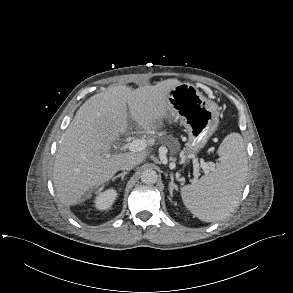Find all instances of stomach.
Masks as SVG:
<instances>
[{"mask_svg": "<svg viewBox=\"0 0 293 293\" xmlns=\"http://www.w3.org/2000/svg\"><path fill=\"white\" fill-rule=\"evenodd\" d=\"M171 119L183 124L188 132L186 151L189 157L198 153L217 130L220 108L197 87L180 83L168 93Z\"/></svg>", "mask_w": 293, "mask_h": 293, "instance_id": "1", "label": "stomach"}]
</instances>
